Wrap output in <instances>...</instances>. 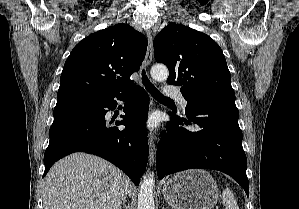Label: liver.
Listing matches in <instances>:
<instances>
[{"instance_id": "liver-1", "label": "liver", "mask_w": 299, "mask_h": 209, "mask_svg": "<svg viewBox=\"0 0 299 209\" xmlns=\"http://www.w3.org/2000/svg\"><path fill=\"white\" fill-rule=\"evenodd\" d=\"M133 191L128 177L106 160L86 153L55 163L43 182L44 209H120Z\"/></svg>"}]
</instances>
